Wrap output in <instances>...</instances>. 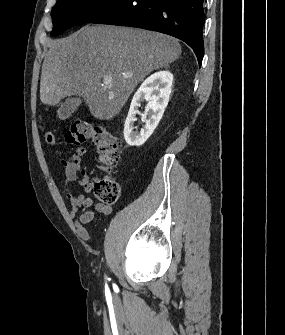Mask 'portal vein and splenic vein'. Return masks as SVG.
I'll list each match as a JSON object with an SVG mask.
<instances>
[{"label": "portal vein and splenic vein", "instance_id": "18ae733b", "mask_svg": "<svg viewBox=\"0 0 285 335\" xmlns=\"http://www.w3.org/2000/svg\"><path fill=\"white\" fill-rule=\"evenodd\" d=\"M119 76H122V78H132L130 74H119ZM111 82H113L112 76H104L103 84H111Z\"/></svg>", "mask_w": 285, "mask_h": 335}]
</instances>
